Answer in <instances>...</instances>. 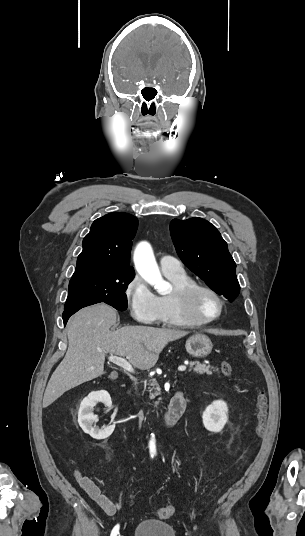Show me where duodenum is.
I'll return each instance as SVG.
<instances>
[{
	"instance_id": "410a0bca",
	"label": "duodenum",
	"mask_w": 305,
	"mask_h": 536,
	"mask_svg": "<svg viewBox=\"0 0 305 536\" xmlns=\"http://www.w3.org/2000/svg\"><path fill=\"white\" fill-rule=\"evenodd\" d=\"M185 410V399L181 392H177L171 398L169 409L162 419L161 426L169 429L176 424Z\"/></svg>"
}]
</instances>
